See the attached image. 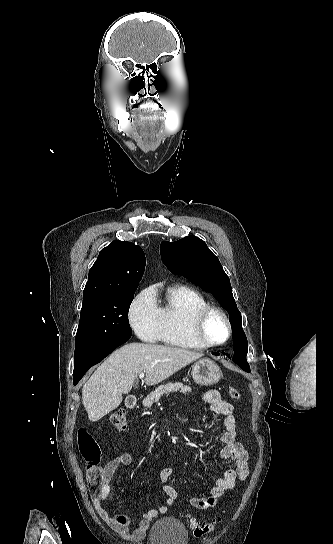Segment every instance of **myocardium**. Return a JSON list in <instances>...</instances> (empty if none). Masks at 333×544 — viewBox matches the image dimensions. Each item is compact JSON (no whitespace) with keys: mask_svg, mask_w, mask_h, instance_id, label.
Listing matches in <instances>:
<instances>
[{"mask_svg":"<svg viewBox=\"0 0 333 544\" xmlns=\"http://www.w3.org/2000/svg\"><path fill=\"white\" fill-rule=\"evenodd\" d=\"M213 314L219 315L224 320L227 327V337L225 340L221 342H213L209 340L206 335V324L209 317ZM232 333H233L232 324L228 315L222 308L218 306L209 304L208 306L200 309L194 317L193 334L196 340L204 347L211 348V347L223 346L231 339Z\"/></svg>","mask_w":333,"mask_h":544,"instance_id":"f54148a6","label":"myocardium"}]
</instances>
